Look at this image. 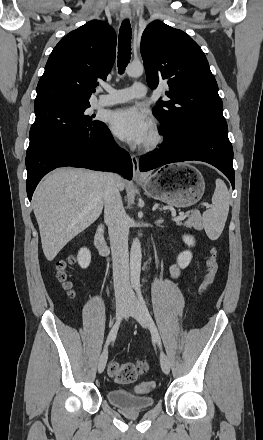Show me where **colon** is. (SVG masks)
<instances>
[{
	"mask_svg": "<svg viewBox=\"0 0 263 440\" xmlns=\"http://www.w3.org/2000/svg\"><path fill=\"white\" fill-rule=\"evenodd\" d=\"M73 262V258L60 262L57 272L58 281L65 289L69 291L71 289V284L68 281L66 268ZM206 268V276L201 287L202 292L207 291L212 286L218 270V250L216 248L211 249L210 256L206 261ZM147 368V363L142 360L127 363L111 362L108 366V374L117 383L129 384L134 382L140 375L145 373ZM153 386L154 384L152 382H143L136 388V391L140 393L148 392L153 388Z\"/></svg>",
	"mask_w": 263,
	"mask_h": 440,
	"instance_id": "1",
	"label": "colon"
}]
</instances>
